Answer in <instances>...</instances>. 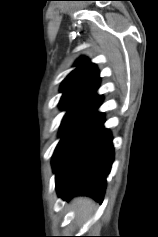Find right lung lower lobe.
<instances>
[{
	"label": "right lung lower lobe",
	"instance_id": "obj_1",
	"mask_svg": "<svg viewBox=\"0 0 158 237\" xmlns=\"http://www.w3.org/2000/svg\"><path fill=\"white\" fill-rule=\"evenodd\" d=\"M101 102L99 96L62 121V138L52 165L57 193L65 200L75 195H87L100 203L103 200L114 154L111 134L103 127V113L96 112Z\"/></svg>",
	"mask_w": 158,
	"mask_h": 237
}]
</instances>
